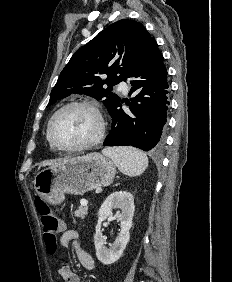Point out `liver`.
Masks as SVG:
<instances>
[{"mask_svg":"<svg viewBox=\"0 0 232 282\" xmlns=\"http://www.w3.org/2000/svg\"><path fill=\"white\" fill-rule=\"evenodd\" d=\"M58 162H60V161H58ZM58 162H56V161H49V162H43L42 164H41V166H47V165H55V164H57Z\"/></svg>","mask_w":232,"mask_h":282,"instance_id":"obj_1","label":"liver"}]
</instances>
